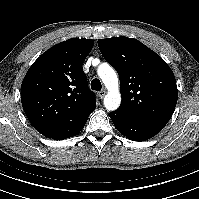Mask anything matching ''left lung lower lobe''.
Returning <instances> with one entry per match:
<instances>
[{
	"label": "left lung lower lobe",
	"mask_w": 199,
	"mask_h": 199,
	"mask_svg": "<svg viewBox=\"0 0 199 199\" xmlns=\"http://www.w3.org/2000/svg\"><path fill=\"white\" fill-rule=\"evenodd\" d=\"M110 118L116 129L130 140L144 141L155 136L159 129L137 122L122 112H110Z\"/></svg>",
	"instance_id": "left-lung-lower-lobe-1"
}]
</instances>
